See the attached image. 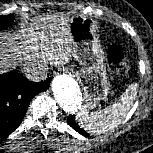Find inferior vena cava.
<instances>
[{
  "mask_svg": "<svg viewBox=\"0 0 153 153\" xmlns=\"http://www.w3.org/2000/svg\"><path fill=\"white\" fill-rule=\"evenodd\" d=\"M27 79L35 82L46 79L47 68L43 63L31 64L25 68Z\"/></svg>",
  "mask_w": 153,
  "mask_h": 153,
  "instance_id": "1",
  "label": "inferior vena cava"
}]
</instances>
